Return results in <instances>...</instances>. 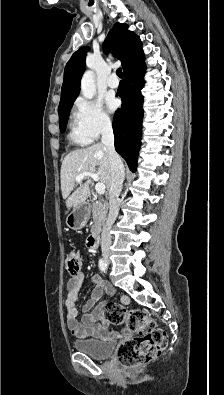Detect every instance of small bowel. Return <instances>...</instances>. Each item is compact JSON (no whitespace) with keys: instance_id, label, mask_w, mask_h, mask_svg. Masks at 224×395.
Returning <instances> with one entry per match:
<instances>
[{"instance_id":"small-bowel-1","label":"small bowel","mask_w":224,"mask_h":395,"mask_svg":"<svg viewBox=\"0 0 224 395\" xmlns=\"http://www.w3.org/2000/svg\"><path fill=\"white\" fill-rule=\"evenodd\" d=\"M85 280V272L80 271L72 275L67 282V298L64 302L66 324L69 331L78 338H107L110 336L107 329V320L104 317V303L99 302L105 292L112 293L114 288L100 276L94 275L91 282L94 285L90 298L83 305L81 321L78 319V310L75 303ZM123 302L128 298L123 296Z\"/></svg>"}]
</instances>
